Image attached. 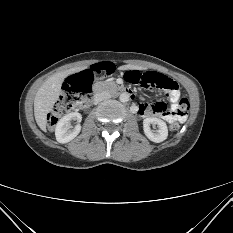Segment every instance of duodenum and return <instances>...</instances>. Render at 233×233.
<instances>
[{"label":"duodenum","mask_w":233,"mask_h":233,"mask_svg":"<svg viewBox=\"0 0 233 233\" xmlns=\"http://www.w3.org/2000/svg\"><path fill=\"white\" fill-rule=\"evenodd\" d=\"M93 90L95 91V94L98 92L109 91L113 94L130 95V92L127 89H125L123 86L118 85V84L101 83V84H98L97 86H95Z\"/></svg>","instance_id":"410a0bca"}]
</instances>
